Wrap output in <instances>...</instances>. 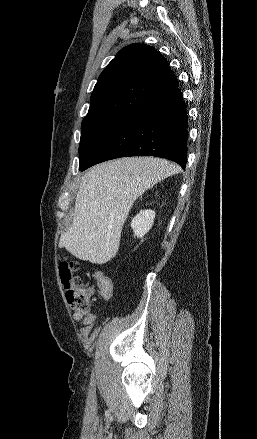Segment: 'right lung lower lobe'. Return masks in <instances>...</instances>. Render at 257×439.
Wrapping results in <instances>:
<instances>
[{
	"label": "right lung lower lobe",
	"instance_id": "obj_1",
	"mask_svg": "<svg viewBox=\"0 0 257 439\" xmlns=\"http://www.w3.org/2000/svg\"><path fill=\"white\" fill-rule=\"evenodd\" d=\"M187 126L186 108L177 87L120 123L81 170L127 156L162 157L185 168Z\"/></svg>",
	"mask_w": 257,
	"mask_h": 439
}]
</instances>
